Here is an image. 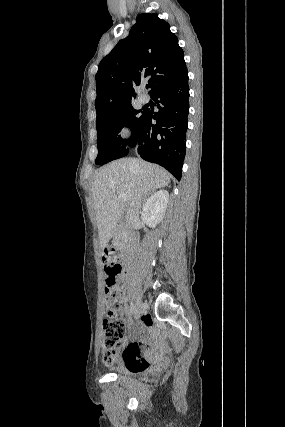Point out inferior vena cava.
<instances>
[{"label": "inferior vena cava", "instance_id": "inferior-vena-cava-1", "mask_svg": "<svg viewBox=\"0 0 285 427\" xmlns=\"http://www.w3.org/2000/svg\"><path fill=\"white\" fill-rule=\"evenodd\" d=\"M141 192H138L134 198V200L130 203L129 208L127 210V222L129 230L134 228L135 224L139 219V209L141 206Z\"/></svg>", "mask_w": 285, "mask_h": 427}]
</instances>
